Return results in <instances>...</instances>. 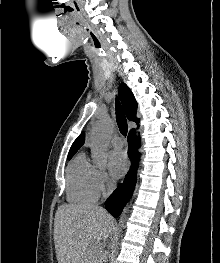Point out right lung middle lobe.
Segmentation results:
<instances>
[{
    "label": "right lung middle lobe",
    "mask_w": 220,
    "mask_h": 263,
    "mask_svg": "<svg viewBox=\"0 0 220 263\" xmlns=\"http://www.w3.org/2000/svg\"><path fill=\"white\" fill-rule=\"evenodd\" d=\"M72 156H73V155L68 156V159H71Z\"/></svg>",
    "instance_id": "1"
}]
</instances>
